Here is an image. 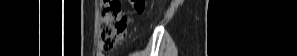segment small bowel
<instances>
[{
  "instance_id": "small-bowel-1",
  "label": "small bowel",
  "mask_w": 297,
  "mask_h": 56,
  "mask_svg": "<svg viewBox=\"0 0 297 56\" xmlns=\"http://www.w3.org/2000/svg\"><path fill=\"white\" fill-rule=\"evenodd\" d=\"M123 38H128V33H123ZM99 56H102V54H99Z\"/></svg>"
}]
</instances>
